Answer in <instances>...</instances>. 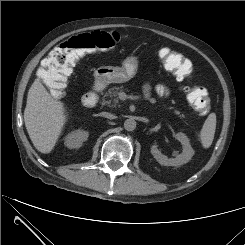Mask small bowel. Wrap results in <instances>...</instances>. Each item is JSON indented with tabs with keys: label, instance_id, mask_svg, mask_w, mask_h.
Segmentation results:
<instances>
[{
	"label": "small bowel",
	"instance_id": "obj_1",
	"mask_svg": "<svg viewBox=\"0 0 245 245\" xmlns=\"http://www.w3.org/2000/svg\"><path fill=\"white\" fill-rule=\"evenodd\" d=\"M168 52H171V51H169L168 49H163L160 52L161 57L165 53H168ZM186 63H187V66H188V70L191 73V71H192V65H191L190 61L187 60V59H186ZM150 90H151V87L148 84L144 85V92H145V95L146 96H149L150 95ZM156 91L158 92L159 95L164 96V97L169 95V89L165 85H158L156 87Z\"/></svg>",
	"mask_w": 245,
	"mask_h": 245
}]
</instances>
